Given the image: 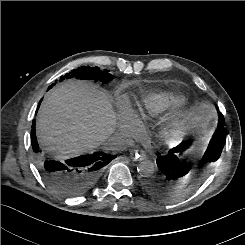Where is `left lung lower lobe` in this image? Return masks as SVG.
Wrapping results in <instances>:
<instances>
[{"label": "left lung lower lobe", "instance_id": "left-lung-lower-lobe-1", "mask_svg": "<svg viewBox=\"0 0 245 245\" xmlns=\"http://www.w3.org/2000/svg\"><path fill=\"white\" fill-rule=\"evenodd\" d=\"M219 122L217 130L215 131L204 155L200 160V166H205L209 163L215 162L221 155L225 144V130L224 117L218 110ZM191 145L190 141H183L176 147L169 149L166 155H160L157 158V166L159 174L164 181L169 182L173 188L176 186H183L186 183L190 174V167L179 159L182 152L188 149ZM157 182L150 179L145 182L147 191L155 192Z\"/></svg>", "mask_w": 245, "mask_h": 245}]
</instances>
